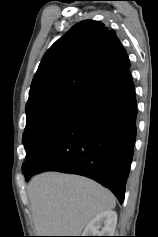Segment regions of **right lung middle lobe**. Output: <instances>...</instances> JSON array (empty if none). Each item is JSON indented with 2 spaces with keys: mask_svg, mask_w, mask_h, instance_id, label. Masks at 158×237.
Returning <instances> with one entry per match:
<instances>
[{
  "mask_svg": "<svg viewBox=\"0 0 158 237\" xmlns=\"http://www.w3.org/2000/svg\"><path fill=\"white\" fill-rule=\"evenodd\" d=\"M84 101L71 97H55L26 108L23 144L26 150L25 170L42 142L60 126Z\"/></svg>",
  "mask_w": 158,
  "mask_h": 237,
  "instance_id": "right-lung-middle-lobe-1",
  "label": "right lung middle lobe"
}]
</instances>
